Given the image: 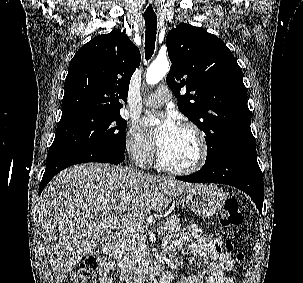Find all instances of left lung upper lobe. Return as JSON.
Wrapping results in <instances>:
<instances>
[{
  "label": "left lung upper lobe",
  "instance_id": "1",
  "mask_svg": "<svg viewBox=\"0 0 303 283\" xmlns=\"http://www.w3.org/2000/svg\"><path fill=\"white\" fill-rule=\"evenodd\" d=\"M166 46L172 62L167 84L180 111L205 133L206 160L236 143L255 142L242 70L226 44L182 23L168 33Z\"/></svg>",
  "mask_w": 303,
  "mask_h": 283
}]
</instances>
